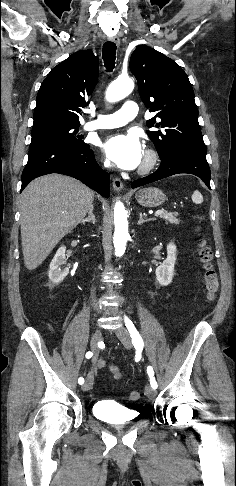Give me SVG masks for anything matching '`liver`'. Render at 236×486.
<instances>
[{
	"mask_svg": "<svg viewBox=\"0 0 236 486\" xmlns=\"http://www.w3.org/2000/svg\"><path fill=\"white\" fill-rule=\"evenodd\" d=\"M94 191L60 174L33 180L21 195V238L24 263L36 269L58 242L85 217Z\"/></svg>",
	"mask_w": 236,
	"mask_h": 486,
	"instance_id": "1",
	"label": "liver"
}]
</instances>
